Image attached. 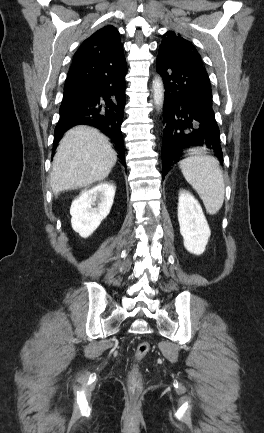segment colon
Instances as JSON below:
<instances>
[{
  "label": "colon",
  "mask_w": 264,
  "mask_h": 433,
  "mask_svg": "<svg viewBox=\"0 0 264 433\" xmlns=\"http://www.w3.org/2000/svg\"><path fill=\"white\" fill-rule=\"evenodd\" d=\"M150 351V344L147 341L139 343L135 350V364L133 365L130 373L129 380L133 387H139L141 383V373L137 363L140 362Z\"/></svg>",
  "instance_id": "colon-1"
}]
</instances>
